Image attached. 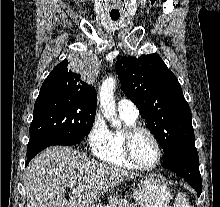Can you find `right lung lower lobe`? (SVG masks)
<instances>
[{"mask_svg": "<svg viewBox=\"0 0 220 207\" xmlns=\"http://www.w3.org/2000/svg\"><path fill=\"white\" fill-rule=\"evenodd\" d=\"M41 150H43V149L37 148L36 146H34V147H27V154H26V156H27V162H26V165H25V166H27V164L29 163V161H30L37 153H39Z\"/></svg>", "mask_w": 220, "mask_h": 207, "instance_id": "right-lung-lower-lobe-1", "label": "right lung lower lobe"}]
</instances>
